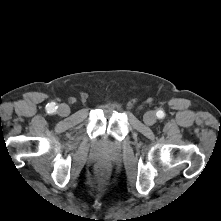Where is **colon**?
<instances>
[{
	"instance_id": "obj_1",
	"label": "colon",
	"mask_w": 221,
	"mask_h": 221,
	"mask_svg": "<svg viewBox=\"0 0 221 221\" xmlns=\"http://www.w3.org/2000/svg\"><path fill=\"white\" fill-rule=\"evenodd\" d=\"M97 173H98V176H99V178L101 180L104 179L107 176V169H106V167H104V166L98 167Z\"/></svg>"
}]
</instances>
